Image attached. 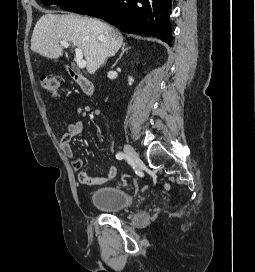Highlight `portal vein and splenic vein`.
Masks as SVG:
<instances>
[{"mask_svg": "<svg viewBox=\"0 0 255 272\" xmlns=\"http://www.w3.org/2000/svg\"><path fill=\"white\" fill-rule=\"evenodd\" d=\"M60 44L63 47H69L70 44L68 43V41L65 40H60ZM75 61L77 62V65L79 68H85L86 66V61L83 59V51L80 48H75Z\"/></svg>", "mask_w": 255, "mask_h": 272, "instance_id": "obj_1", "label": "portal vein and splenic vein"}]
</instances>
